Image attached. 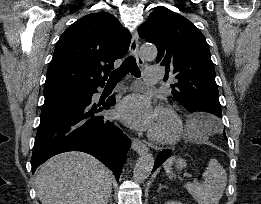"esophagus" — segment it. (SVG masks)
Returning a JSON list of instances; mask_svg holds the SVG:
<instances>
[{
    "label": "esophagus",
    "mask_w": 261,
    "mask_h": 204,
    "mask_svg": "<svg viewBox=\"0 0 261 204\" xmlns=\"http://www.w3.org/2000/svg\"><path fill=\"white\" fill-rule=\"evenodd\" d=\"M129 52L132 56H134L136 58L137 63L140 66L144 65V60L139 55V39H138V34L136 31L132 35ZM132 149L140 155L147 153L149 150L148 147L146 146V144H144L143 142H141L138 139L133 140Z\"/></svg>",
    "instance_id": "34e87169"
}]
</instances>
